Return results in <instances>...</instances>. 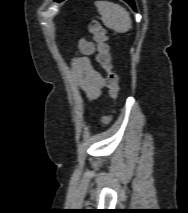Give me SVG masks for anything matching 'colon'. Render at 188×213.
I'll use <instances>...</instances> for the list:
<instances>
[{"label":"colon","mask_w":188,"mask_h":213,"mask_svg":"<svg viewBox=\"0 0 188 213\" xmlns=\"http://www.w3.org/2000/svg\"><path fill=\"white\" fill-rule=\"evenodd\" d=\"M89 30L98 45L97 61L105 72V85L108 88L111 97L116 100L119 96L120 87L118 84V77L116 73L112 71L107 45V32L104 27L94 19L90 22ZM108 120V117H104V121Z\"/></svg>","instance_id":"5ec220e1"}]
</instances>
